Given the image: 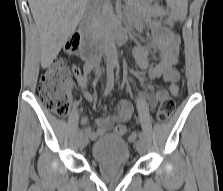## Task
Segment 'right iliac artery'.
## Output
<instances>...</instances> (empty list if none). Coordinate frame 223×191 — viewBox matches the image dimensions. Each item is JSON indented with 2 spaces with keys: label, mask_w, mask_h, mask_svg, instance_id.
<instances>
[{
  "label": "right iliac artery",
  "mask_w": 223,
  "mask_h": 191,
  "mask_svg": "<svg viewBox=\"0 0 223 191\" xmlns=\"http://www.w3.org/2000/svg\"><path fill=\"white\" fill-rule=\"evenodd\" d=\"M113 86H114L113 68L108 67L107 68V86H106V89H105V92H104V96L112 91ZM82 134H83V132L79 131V136L82 135Z\"/></svg>",
  "instance_id": "82829eb1"
}]
</instances>
